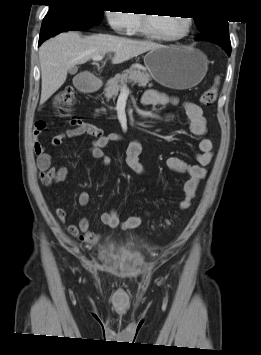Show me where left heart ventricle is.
Here are the masks:
<instances>
[{
	"label": "left heart ventricle",
	"mask_w": 261,
	"mask_h": 355,
	"mask_svg": "<svg viewBox=\"0 0 261 355\" xmlns=\"http://www.w3.org/2000/svg\"><path fill=\"white\" fill-rule=\"evenodd\" d=\"M148 16L151 28L159 34L178 36L185 30L186 24L183 17L155 16L152 14H148Z\"/></svg>",
	"instance_id": "left-heart-ventricle-1"
}]
</instances>
